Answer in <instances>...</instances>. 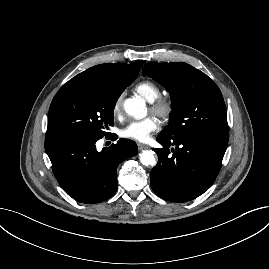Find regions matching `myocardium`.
I'll return each instance as SVG.
<instances>
[{
	"mask_svg": "<svg viewBox=\"0 0 269 269\" xmlns=\"http://www.w3.org/2000/svg\"><path fill=\"white\" fill-rule=\"evenodd\" d=\"M150 110L161 120L167 121L173 113L174 104L170 98L158 97L156 100L152 102Z\"/></svg>",
	"mask_w": 269,
	"mask_h": 269,
	"instance_id": "myocardium-1",
	"label": "myocardium"
}]
</instances>
